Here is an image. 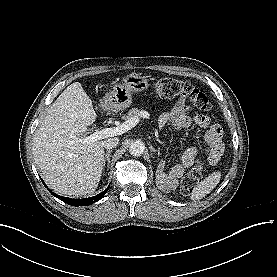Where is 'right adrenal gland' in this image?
<instances>
[{"label":"right adrenal gland","mask_w":277,"mask_h":277,"mask_svg":"<svg viewBox=\"0 0 277 277\" xmlns=\"http://www.w3.org/2000/svg\"><path fill=\"white\" fill-rule=\"evenodd\" d=\"M111 150H108L104 156V160H103V166H105L106 162H107V168L109 166L110 163V155H111Z\"/></svg>","instance_id":"2a0ac1e0"}]
</instances>
